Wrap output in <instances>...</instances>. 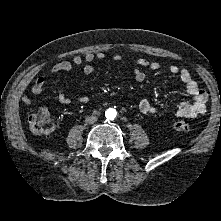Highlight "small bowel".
Listing matches in <instances>:
<instances>
[{"instance_id":"obj_1","label":"small bowel","mask_w":221,"mask_h":221,"mask_svg":"<svg viewBox=\"0 0 221 221\" xmlns=\"http://www.w3.org/2000/svg\"><path fill=\"white\" fill-rule=\"evenodd\" d=\"M105 54L103 52L97 53H87L84 57L74 56L70 61L65 60L54 64L51 68L52 74H57L61 72H70L75 67H81L85 74H91L94 71L93 62L95 60H104ZM113 60L120 62L123 60V57L120 54H116L113 57ZM138 67L134 69V78L138 82H142L145 79V69H159L160 64L152 62L147 58H138L137 59ZM169 73L178 78L186 87L188 94L191 96V103H180L175 111V116L178 118L190 117L194 118L206 111L207 103V93L201 89L193 78L191 72L183 67L176 65L168 66ZM45 87V80L43 77L37 78L32 86L31 91L35 95H39L43 92ZM57 99L62 104H70L72 102L71 98L67 96L61 89L57 92ZM22 101L29 105L33 102L32 98L29 95H24ZM79 102H85V98L81 97L78 99ZM139 110L144 114L153 113L155 108L147 99H142L138 104Z\"/></svg>"}]
</instances>
